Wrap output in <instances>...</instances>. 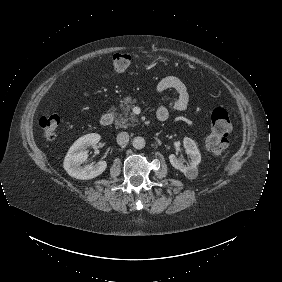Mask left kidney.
<instances>
[{"instance_id": "5707ae66", "label": "left kidney", "mask_w": 282, "mask_h": 282, "mask_svg": "<svg viewBox=\"0 0 282 282\" xmlns=\"http://www.w3.org/2000/svg\"><path fill=\"white\" fill-rule=\"evenodd\" d=\"M183 146L185 152L189 155L191 161L188 166L184 165L182 160L174 154L169 155L171 165L184 173L188 179H195L198 176V164L201 162V154L196 142L189 137H184Z\"/></svg>"}]
</instances>
